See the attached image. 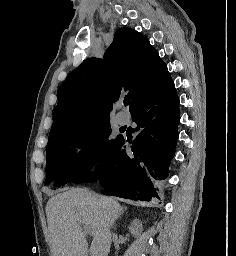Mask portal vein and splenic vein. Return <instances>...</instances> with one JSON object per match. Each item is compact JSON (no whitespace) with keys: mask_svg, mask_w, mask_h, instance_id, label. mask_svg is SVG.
<instances>
[{"mask_svg":"<svg viewBox=\"0 0 236 256\" xmlns=\"http://www.w3.org/2000/svg\"><path fill=\"white\" fill-rule=\"evenodd\" d=\"M82 226L84 228L83 234H85V236H88V234H90L91 228H88V226H84V224H82Z\"/></svg>","mask_w":236,"mask_h":256,"instance_id":"portal-vein-and-splenic-vein-1","label":"portal vein and splenic vein"}]
</instances>
